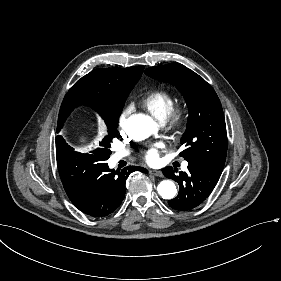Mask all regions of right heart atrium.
<instances>
[{
    "label": "right heart atrium",
    "mask_w": 281,
    "mask_h": 281,
    "mask_svg": "<svg viewBox=\"0 0 281 281\" xmlns=\"http://www.w3.org/2000/svg\"><path fill=\"white\" fill-rule=\"evenodd\" d=\"M129 118L118 116V127L133 140L143 139V129L138 123H129Z\"/></svg>",
    "instance_id": "1"
}]
</instances>
